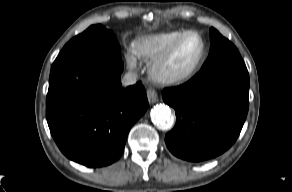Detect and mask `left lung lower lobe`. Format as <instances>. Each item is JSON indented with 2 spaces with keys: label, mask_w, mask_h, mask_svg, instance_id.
Wrapping results in <instances>:
<instances>
[{
  "label": "left lung lower lobe",
  "mask_w": 292,
  "mask_h": 192,
  "mask_svg": "<svg viewBox=\"0 0 292 192\" xmlns=\"http://www.w3.org/2000/svg\"><path fill=\"white\" fill-rule=\"evenodd\" d=\"M248 91L245 64L202 70L185 84L164 89L163 99L176 113V125L165 136L171 153L200 162L229 149L247 116Z\"/></svg>",
  "instance_id": "left-lung-lower-lobe-1"
}]
</instances>
